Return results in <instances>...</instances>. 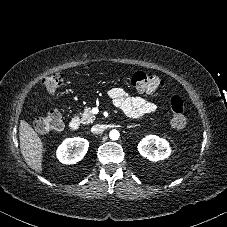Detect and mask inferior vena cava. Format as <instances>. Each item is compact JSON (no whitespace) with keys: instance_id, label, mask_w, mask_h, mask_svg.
<instances>
[{"instance_id":"obj_1","label":"inferior vena cava","mask_w":227,"mask_h":227,"mask_svg":"<svg viewBox=\"0 0 227 227\" xmlns=\"http://www.w3.org/2000/svg\"><path fill=\"white\" fill-rule=\"evenodd\" d=\"M105 130V126L101 124H97L91 128V132L95 134H99Z\"/></svg>"}]
</instances>
